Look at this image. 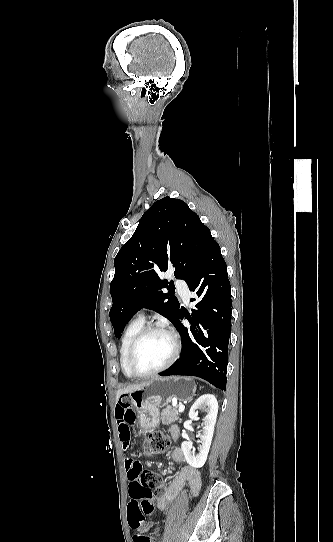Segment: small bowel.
<instances>
[{"label": "small bowel", "mask_w": 333, "mask_h": 542, "mask_svg": "<svg viewBox=\"0 0 333 542\" xmlns=\"http://www.w3.org/2000/svg\"><path fill=\"white\" fill-rule=\"evenodd\" d=\"M131 407L132 404L128 400L123 401L122 404L118 403L115 407L118 440L124 451L129 450L132 439L131 431L135 430V425L133 424L135 414ZM170 434L176 439L180 434L179 427L176 425L171 426ZM171 458L175 464H180L183 461L182 451L179 448H175L171 453ZM133 464L132 460L126 461L131 487L133 484ZM186 483L189 484L191 495L193 497L197 496L201 488V475L196 468L192 466L182 467L170 482L166 492L162 496L157 497L156 506L162 511L167 510L182 492ZM136 518L137 507L134 500H132L128 507V523L135 531H140L143 528V523L140 520H136ZM150 527L151 524L146 525V528Z\"/></svg>", "instance_id": "obj_1"}]
</instances>
